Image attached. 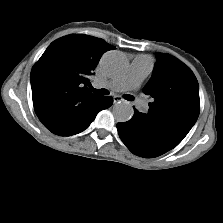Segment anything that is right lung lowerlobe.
<instances>
[{
    "label": "right lung lower lobe",
    "mask_w": 223,
    "mask_h": 223,
    "mask_svg": "<svg viewBox=\"0 0 223 223\" xmlns=\"http://www.w3.org/2000/svg\"><path fill=\"white\" fill-rule=\"evenodd\" d=\"M113 103V100L108 97H101L96 106H95V109L92 110V115L79 127L71 130V131H66V132H63V131H53L52 133L54 134H57V135H60V136H70V135H74V134H77V133H80L82 132L83 130H85L89 125L90 123L95 119L97 113L103 109H106L108 107H110Z\"/></svg>",
    "instance_id": "right-lung-lower-lobe-1"
}]
</instances>
